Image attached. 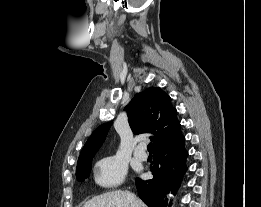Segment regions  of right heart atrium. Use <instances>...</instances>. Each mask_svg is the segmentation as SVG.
Listing matches in <instances>:
<instances>
[{
  "mask_svg": "<svg viewBox=\"0 0 261 207\" xmlns=\"http://www.w3.org/2000/svg\"><path fill=\"white\" fill-rule=\"evenodd\" d=\"M127 174V164L116 155L102 158L96 165V182L106 188L121 185Z\"/></svg>",
  "mask_w": 261,
  "mask_h": 207,
  "instance_id": "d8ad5b80",
  "label": "right heart atrium"
}]
</instances>
